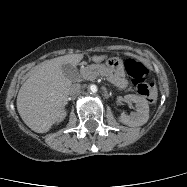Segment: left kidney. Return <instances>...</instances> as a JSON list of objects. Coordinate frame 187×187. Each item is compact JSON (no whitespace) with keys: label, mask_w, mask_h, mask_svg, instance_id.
<instances>
[{"label":"left kidney","mask_w":187,"mask_h":187,"mask_svg":"<svg viewBox=\"0 0 187 187\" xmlns=\"http://www.w3.org/2000/svg\"><path fill=\"white\" fill-rule=\"evenodd\" d=\"M125 98L136 104V112L131 115L121 114L120 121L128 126H142L149 119V106L147 101L137 95H126Z\"/></svg>","instance_id":"obj_1"}]
</instances>
